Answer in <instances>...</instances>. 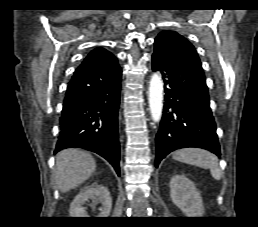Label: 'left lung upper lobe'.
Returning a JSON list of instances; mask_svg holds the SVG:
<instances>
[{"mask_svg":"<svg viewBox=\"0 0 258 227\" xmlns=\"http://www.w3.org/2000/svg\"><path fill=\"white\" fill-rule=\"evenodd\" d=\"M163 48L194 67L202 70L200 59L193 45L174 31H163L155 38V48Z\"/></svg>","mask_w":258,"mask_h":227,"instance_id":"1","label":"left lung upper lobe"}]
</instances>
